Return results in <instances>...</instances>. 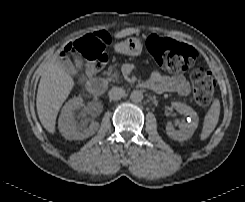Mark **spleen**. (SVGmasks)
I'll return each instance as SVG.
<instances>
[{"label": "spleen", "instance_id": "obj_1", "mask_svg": "<svg viewBox=\"0 0 245 202\" xmlns=\"http://www.w3.org/2000/svg\"><path fill=\"white\" fill-rule=\"evenodd\" d=\"M219 114L220 102L218 99H215L204 118L203 129L200 135L201 140H205L213 132L218 123Z\"/></svg>", "mask_w": 245, "mask_h": 202}]
</instances>
